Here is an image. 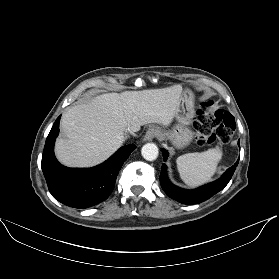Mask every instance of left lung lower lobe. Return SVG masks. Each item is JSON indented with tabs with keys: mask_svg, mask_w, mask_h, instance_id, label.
<instances>
[{
	"mask_svg": "<svg viewBox=\"0 0 279 279\" xmlns=\"http://www.w3.org/2000/svg\"><path fill=\"white\" fill-rule=\"evenodd\" d=\"M167 156L168 152L166 150H163L164 161H166ZM238 162L239 159L232 167L228 168L224 172V174L216 181L201 186L194 190L182 189L172 184L167 177V167L165 164H163L161 168L160 183L163 190L170 198L182 204H198L203 201H206L207 199L215 195L217 192L221 191L228 184L237 167Z\"/></svg>",
	"mask_w": 279,
	"mask_h": 279,
	"instance_id": "obj_1",
	"label": "left lung lower lobe"
}]
</instances>
